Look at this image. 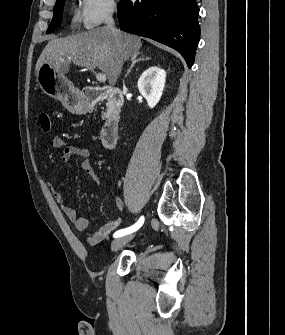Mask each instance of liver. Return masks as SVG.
<instances>
[{"label": "liver", "mask_w": 285, "mask_h": 335, "mask_svg": "<svg viewBox=\"0 0 285 335\" xmlns=\"http://www.w3.org/2000/svg\"><path fill=\"white\" fill-rule=\"evenodd\" d=\"M142 46L140 38L126 32H111L106 26L93 28L82 34L50 40L45 46L36 70L41 64L49 62L53 68H69L75 64L80 68L101 70L108 78L110 86H115L123 62L134 54H139Z\"/></svg>", "instance_id": "6515ba94"}]
</instances>
